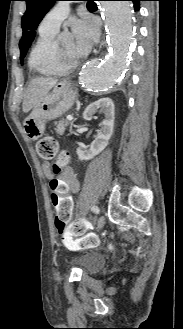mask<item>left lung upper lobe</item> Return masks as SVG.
Here are the masks:
<instances>
[{
	"mask_svg": "<svg viewBox=\"0 0 183 329\" xmlns=\"http://www.w3.org/2000/svg\"><path fill=\"white\" fill-rule=\"evenodd\" d=\"M27 4V10L22 17V29L23 35L20 40L21 50V63L33 42L36 32L35 29L38 27L44 15L48 12L50 7L55 1L58 0H24Z\"/></svg>",
	"mask_w": 183,
	"mask_h": 329,
	"instance_id": "obj_1",
	"label": "left lung upper lobe"
}]
</instances>
